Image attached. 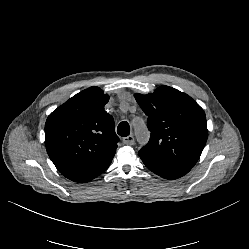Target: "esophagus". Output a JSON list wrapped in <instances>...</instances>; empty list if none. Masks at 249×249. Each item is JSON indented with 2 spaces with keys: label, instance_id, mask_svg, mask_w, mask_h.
Wrapping results in <instances>:
<instances>
[{
  "label": "esophagus",
  "instance_id": "obj_1",
  "mask_svg": "<svg viewBox=\"0 0 249 249\" xmlns=\"http://www.w3.org/2000/svg\"><path fill=\"white\" fill-rule=\"evenodd\" d=\"M122 141H123V143H124L125 145H128V146L134 145V143H135V139H134V136H133V135H129V136H127V137H124V138L122 139Z\"/></svg>",
  "mask_w": 249,
  "mask_h": 249
}]
</instances>
